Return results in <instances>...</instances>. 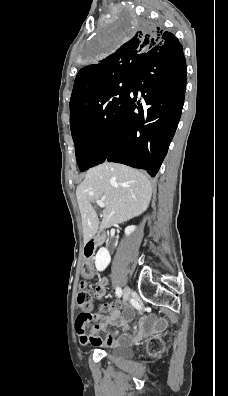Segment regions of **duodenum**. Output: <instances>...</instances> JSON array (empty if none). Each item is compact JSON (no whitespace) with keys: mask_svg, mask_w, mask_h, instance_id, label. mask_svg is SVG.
<instances>
[{"mask_svg":"<svg viewBox=\"0 0 228 396\" xmlns=\"http://www.w3.org/2000/svg\"><path fill=\"white\" fill-rule=\"evenodd\" d=\"M103 239H104L103 236L90 239L85 245V252L90 254L91 256L93 254L94 249L102 243Z\"/></svg>","mask_w":228,"mask_h":396,"instance_id":"1","label":"duodenum"}]
</instances>
